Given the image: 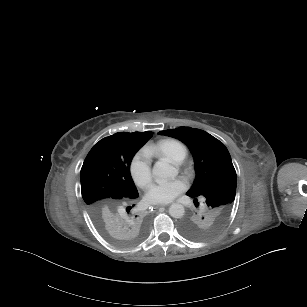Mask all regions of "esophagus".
I'll list each match as a JSON object with an SVG mask.
<instances>
[{
	"instance_id": "obj_1",
	"label": "esophagus",
	"mask_w": 307,
	"mask_h": 307,
	"mask_svg": "<svg viewBox=\"0 0 307 307\" xmlns=\"http://www.w3.org/2000/svg\"><path fill=\"white\" fill-rule=\"evenodd\" d=\"M153 207L154 208H159V207H162V204L154 205Z\"/></svg>"
}]
</instances>
